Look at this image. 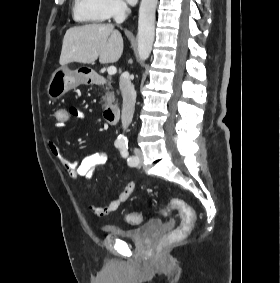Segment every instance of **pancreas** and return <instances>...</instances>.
Masks as SVG:
<instances>
[{
	"label": "pancreas",
	"mask_w": 280,
	"mask_h": 283,
	"mask_svg": "<svg viewBox=\"0 0 280 283\" xmlns=\"http://www.w3.org/2000/svg\"><path fill=\"white\" fill-rule=\"evenodd\" d=\"M106 89H111V80L110 82L108 83V88ZM112 97V93L107 91L105 93V96H103V102H104V107H107L108 106V103H109V99Z\"/></svg>",
	"instance_id": "cf45deb5"
}]
</instances>
